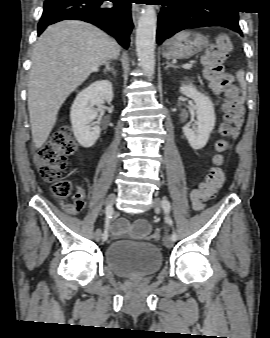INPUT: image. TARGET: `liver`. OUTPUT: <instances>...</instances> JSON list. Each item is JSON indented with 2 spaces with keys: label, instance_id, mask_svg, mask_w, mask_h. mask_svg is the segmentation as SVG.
<instances>
[{
  "label": "liver",
  "instance_id": "obj_1",
  "mask_svg": "<svg viewBox=\"0 0 270 338\" xmlns=\"http://www.w3.org/2000/svg\"><path fill=\"white\" fill-rule=\"evenodd\" d=\"M119 51L114 39L83 21H61L43 32L34 45L28 83L36 148L47 141L67 97Z\"/></svg>",
  "mask_w": 270,
  "mask_h": 338
}]
</instances>
